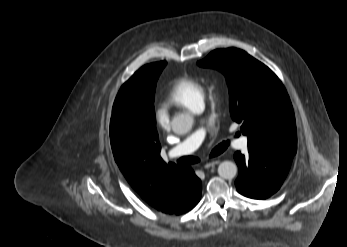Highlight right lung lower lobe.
Returning a JSON list of instances; mask_svg holds the SVG:
<instances>
[{"mask_svg":"<svg viewBox=\"0 0 347 247\" xmlns=\"http://www.w3.org/2000/svg\"><path fill=\"white\" fill-rule=\"evenodd\" d=\"M188 173L191 174L192 178L196 181L195 190L172 212L169 214H183L191 210L199 202L201 197V181L194 174L193 170L190 167H187Z\"/></svg>","mask_w":347,"mask_h":247,"instance_id":"1","label":"right lung lower lobe"}]
</instances>
